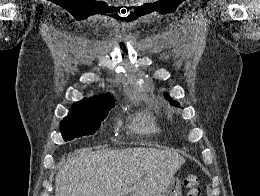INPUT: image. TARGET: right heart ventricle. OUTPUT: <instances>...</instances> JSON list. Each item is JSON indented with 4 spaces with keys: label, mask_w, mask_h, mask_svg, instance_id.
Here are the masks:
<instances>
[{
    "label": "right heart ventricle",
    "mask_w": 260,
    "mask_h": 196,
    "mask_svg": "<svg viewBox=\"0 0 260 196\" xmlns=\"http://www.w3.org/2000/svg\"><path fill=\"white\" fill-rule=\"evenodd\" d=\"M139 128L143 133H155L158 131V127L152 121L142 122ZM115 192H124V190H116Z\"/></svg>",
    "instance_id": "1"
}]
</instances>
